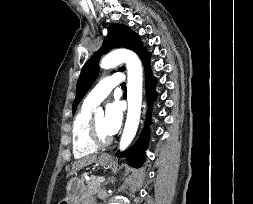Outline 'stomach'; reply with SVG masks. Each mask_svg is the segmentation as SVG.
<instances>
[{
  "label": "stomach",
  "instance_id": "0dacf381",
  "mask_svg": "<svg viewBox=\"0 0 253 204\" xmlns=\"http://www.w3.org/2000/svg\"><path fill=\"white\" fill-rule=\"evenodd\" d=\"M98 164L106 167L112 163V158L107 155L99 156ZM67 195L62 199L59 204H83L84 201L90 196L87 192V186L83 178L78 176L72 177L66 186Z\"/></svg>",
  "mask_w": 253,
  "mask_h": 204
}]
</instances>
